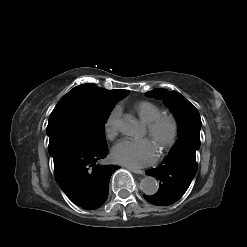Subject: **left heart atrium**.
<instances>
[{"label": "left heart atrium", "mask_w": 247, "mask_h": 247, "mask_svg": "<svg viewBox=\"0 0 247 247\" xmlns=\"http://www.w3.org/2000/svg\"><path fill=\"white\" fill-rule=\"evenodd\" d=\"M157 157V148L149 139H125L117 143L112 149L115 162L134 168L152 164Z\"/></svg>", "instance_id": "1"}]
</instances>
